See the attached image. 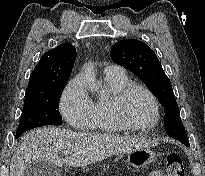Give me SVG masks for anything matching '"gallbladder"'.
Instances as JSON below:
<instances>
[{"label": "gallbladder", "instance_id": "obj_1", "mask_svg": "<svg viewBox=\"0 0 205 176\" xmlns=\"http://www.w3.org/2000/svg\"><path fill=\"white\" fill-rule=\"evenodd\" d=\"M25 176H61V170L49 162H33L25 169Z\"/></svg>", "mask_w": 205, "mask_h": 176}]
</instances>
